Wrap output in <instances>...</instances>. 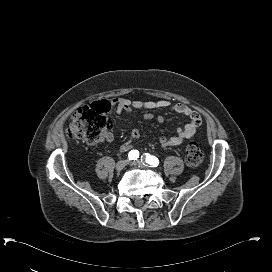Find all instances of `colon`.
Listing matches in <instances>:
<instances>
[{"instance_id":"colon-1","label":"colon","mask_w":272,"mask_h":272,"mask_svg":"<svg viewBox=\"0 0 272 272\" xmlns=\"http://www.w3.org/2000/svg\"><path fill=\"white\" fill-rule=\"evenodd\" d=\"M110 102L101 100L83 106L76 110L65 130L69 139H83L90 145L97 144L105 131L110 127ZM186 163L197 167L203 160V153L196 142H191L186 148Z\"/></svg>"}]
</instances>
